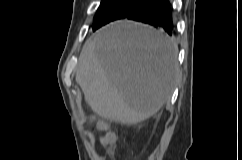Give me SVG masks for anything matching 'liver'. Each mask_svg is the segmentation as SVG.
Returning a JSON list of instances; mask_svg holds the SVG:
<instances>
[{
  "label": "liver",
  "mask_w": 242,
  "mask_h": 160,
  "mask_svg": "<svg viewBox=\"0 0 242 160\" xmlns=\"http://www.w3.org/2000/svg\"><path fill=\"white\" fill-rule=\"evenodd\" d=\"M177 54L173 39L140 23L116 21L85 42L76 82L100 117L134 125L170 99L179 73Z\"/></svg>",
  "instance_id": "obj_1"
}]
</instances>
